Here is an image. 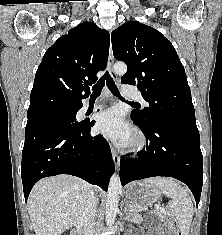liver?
<instances>
[{
  "mask_svg": "<svg viewBox=\"0 0 222 235\" xmlns=\"http://www.w3.org/2000/svg\"><path fill=\"white\" fill-rule=\"evenodd\" d=\"M89 191L87 182L70 175L37 182L28 199L35 235H61L72 228L80 220Z\"/></svg>",
  "mask_w": 222,
  "mask_h": 235,
  "instance_id": "6515ba94",
  "label": "liver"
}]
</instances>
